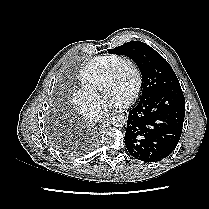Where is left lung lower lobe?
<instances>
[{
    "instance_id": "1",
    "label": "left lung lower lobe",
    "mask_w": 209,
    "mask_h": 209,
    "mask_svg": "<svg viewBox=\"0 0 209 209\" xmlns=\"http://www.w3.org/2000/svg\"><path fill=\"white\" fill-rule=\"evenodd\" d=\"M185 117V98L180 85L164 89L129 111L125 145L134 158L157 162L175 149Z\"/></svg>"
}]
</instances>
